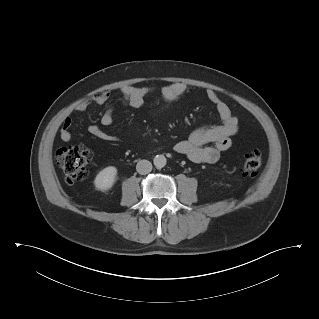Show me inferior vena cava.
I'll return each mask as SVG.
<instances>
[{
	"label": "inferior vena cava",
	"mask_w": 319,
	"mask_h": 319,
	"mask_svg": "<svg viewBox=\"0 0 319 319\" xmlns=\"http://www.w3.org/2000/svg\"><path fill=\"white\" fill-rule=\"evenodd\" d=\"M136 170L139 174H148L152 171V164L148 160H140L136 165Z\"/></svg>",
	"instance_id": "602c4592"
}]
</instances>
